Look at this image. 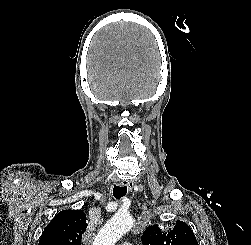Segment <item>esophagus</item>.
Listing matches in <instances>:
<instances>
[{
  "label": "esophagus",
  "instance_id": "esophagus-1",
  "mask_svg": "<svg viewBox=\"0 0 251 245\" xmlns=\"http://www.w3.org/2000/svg\"><path fill=\"white\" fill-rule=\"evenodd\" d=\"M119 185L120 186H126V187H128V189H132V187H133V182L132 181H120L119 182Z\"/></svg>",
  "mask_w": 251,
  "mask_h": 245
}]
</instances>
